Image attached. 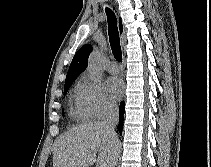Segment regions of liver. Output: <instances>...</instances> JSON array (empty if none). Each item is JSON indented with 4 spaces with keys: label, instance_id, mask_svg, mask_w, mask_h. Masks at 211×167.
Wrapping results in <instances>:
<instances>
[{
    "label": "liver",
    "instance_id": "obj_1",
    "mask_svg": "<svg viewBox=\"0 0 211 167\" xmlns=\"http://www.w3.org/2000/svg\"><path fill=\"white\" fill-rule=\"evenodd\" d=\"M98 152V157L96 156ZM119 141L102 122H86L61 135L53 149V167H115Z\"/></svg>",
    "mask_w": 211,
    "mask_h": 167
}]
</instances>
